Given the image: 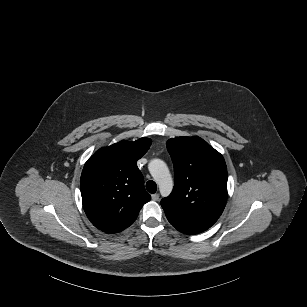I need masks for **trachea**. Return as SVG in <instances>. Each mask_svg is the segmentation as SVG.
<instances>
[{"instance_id": "3493384b", "label": "trachea", "mask_w": 307, "mask_h": 307, "mask_svg": "<svg viewBox=\"0 0 307 307\" xmlns=\"http://www.w3.org/2000/svg\"><path fill=\"white\" fill-rule=\"evenodd\" d=\"M146 189L149 193L153 194L157 191V184L154 181L150 180L146 183Z\"/></svg>"}]
</instances>
